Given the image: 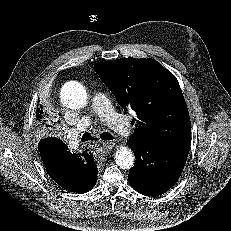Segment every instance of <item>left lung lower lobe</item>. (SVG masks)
<instances>
[{"instance_id":"0a47b994","label":"left lung lower lobe","mask_w":231,"mask_h":231,"mask_svg":"<svg viewBox=\"0 0 231 231\" xmlns=\"http://www.w3.org/2000/svg\"><path fill=\"white\" fill-rule=\"evenodd\" d=\"M128 145L136 156L135 166L128 174V179L137 192L157 196L169 190L179 179L188 154L129 141Z\"/></svg>"}]
</instances>
